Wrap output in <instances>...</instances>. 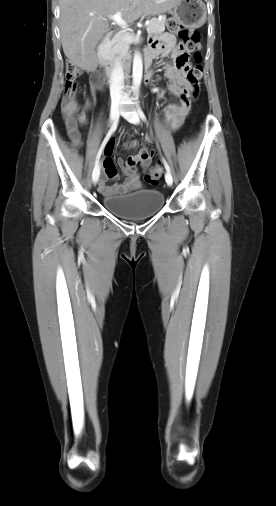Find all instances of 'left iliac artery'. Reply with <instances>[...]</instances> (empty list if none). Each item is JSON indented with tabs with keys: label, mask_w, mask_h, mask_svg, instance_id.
Instances as JSON below:
<instances>
[{
	"label": "left iliac artery",
	"mask_w": 276,
	"mask_h": 506,
	"mask_svg": "<svg viewBox=\"0 0 276 506\" xmlns=\"http://www.w3.org/2000/svg\"><path fill=\"white\" fill-rule=\"evenodd\" d=\"M136 99H138V96L136 97ZM137 111L139 113L140 118L143 121L147 122L146 116H145L144 112L142 111V109L139 107L138 102H137ZM163 163H164V166H165L167 172L170 173V167H169V165H168V163L166 162L165 159H163Z\"/></svg>",
	"instance_id": "1"
}]
</instances>
